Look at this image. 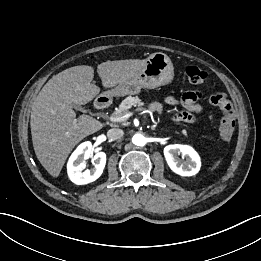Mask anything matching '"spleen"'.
<instances>
[{
  "instance_id": "1",
  "label": "spleen",
  "mask_w": 261,
  "mask_h": 261,
  "mask_svg": "<svg viewBox=\"0 0 261 261\" xmlns=\"http://www.w3.org/2000/svg\"><path fill=\"white\" fill-rule=\"evenodd\" d=\"M219 165V161L215 162L212 169H215Z\"/></svg>"
}]
</instances>
